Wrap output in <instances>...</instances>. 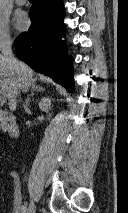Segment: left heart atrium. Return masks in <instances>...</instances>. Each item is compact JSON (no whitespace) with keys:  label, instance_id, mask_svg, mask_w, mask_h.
Instances as JSON below:
<instances>
[{"label":"left heart atrium","instance_id":"left-heart-atrium-1","mask_svg":"<svg viewBox=\"0 0 128 213\" xmlns=\"http://www.w3.org/2000/svg\"><path fill=\"white\" fill-rule=\"evenodd\" d=\"M14 24L18 30L22 31L28 27L29 19L25 13L19 12L15 15Z\"/></svg>","mask_w":128,"mask_h":213}]
</instances>
